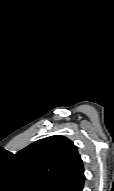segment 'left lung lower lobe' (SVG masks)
Returning a JSON list of instances; mask_svg holds the SVG:
<instances>
[{
	"mask_svg": "<svg viewBox=\"0 0 114 191\" xmlns=\"http://www.w3.org/2000/svg\"><path fill=\"white\" fill-rule=\"evenodd\" d=\"M84 171L78 176V178L72 183L68 191H82L84 185Z\"/></svg>",
	"mask_w": 114,
	"mask_h": 191,
	"instance_id": "obj_1",
	"label": "left lung lower lobe"
}]
</instances>
